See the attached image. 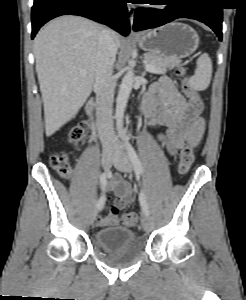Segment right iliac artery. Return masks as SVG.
Segmentation results:
<instances>
[{
  "mask_svg": "<svg viewBox=\"0 0 246 300\" xmlns=\"http://www.w3.org/2000/svg\"><path fill=\"white\" fill-rule=\"evenodd\" d=\"M106 184H107V173L104 172L100 175V185H101L102 190L105 189ZM103 205H104V198H103V196H101L99 198V200L97 201L96 207L98 210H101L103 208Z\"/></svg>",
  "mask_w": 246,
  "mask_h": 300,
  "instance_id": "right-iliac-artery-1",
  "label": "right iliac artery"
}]
</instances>
